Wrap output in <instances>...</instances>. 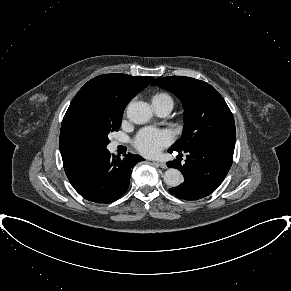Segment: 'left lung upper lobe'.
I'll return each mask as SVG.
<instances>
[{
  "label": "left lung upper lobe",
  "mask_w": 291,
  "mask_h": 291,
  "mask_svg": "<svg viewBox=\"0 0 291 291\" xmlns=\"http://www.w3.org/2000/svg\"><path fill=\"white\" fill-rule=\"evenodd\" d=\"M152 85L173 92L184 106L183 134L171 150L183 151L208 142H235L233 115L211 85L183 76L157 78Z\"/></svg>",
  "instance_id": "1"
}]
</instances>
